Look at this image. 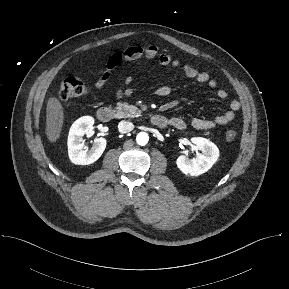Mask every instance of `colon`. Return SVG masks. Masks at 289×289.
<instances>
[{
  "mask_svg": "<svg viewBox=\"0 0 289 289\" xmlns=\"http://www.w3.org/2000/svg\"><path fill=\"white\" fill-rule=\"evenodd\" d=\"M87 94V88L79 77L69 76L65 78L59 88V97L63 100L84 97ZM228 141H233L237 133L233 129H229L226 134Z\"/></svg>",
  "mask_w": 289,
  "mask_h": 289,
  "instance_id": "1",
  "label": "colon"
}]
</instances>
